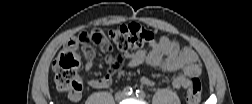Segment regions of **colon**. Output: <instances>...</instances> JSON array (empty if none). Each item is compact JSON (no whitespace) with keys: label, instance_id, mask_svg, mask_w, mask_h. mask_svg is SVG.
Returning <instances> with one entry per match:
<instances>
[{"label":"colon","instance_id":"5ec220e1","mask_svg":"<svg viewBox=\"0 0 252 104\" xmlns=\"http://www.w3.org/2000/svg\"><path fill=\"white\" fill-rule=\"evenodd\" d=\"M152 38V32L138 23L122 25L108 32L93 29L79 33L67 43L53 63L57 89L71 97H76L81 93L83 85L82 61L94 56V46H98L103 52L110 51L113 46L121 51L128 52L141 48ZM121 61L120 59L118 64ZM186 99L190 104H196L200 101L201 83L198 79L190 80Z\"/></svg>","mask_w":252,"mask_h":104}]
</instances>
